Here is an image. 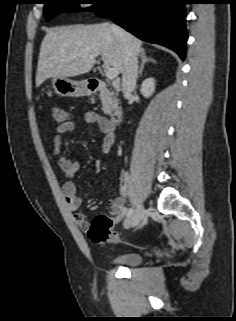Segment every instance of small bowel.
I'll return each mask as SVG.
<instances>
[{
  "label": "small bowel",
  "instance_id": "obj_1",
  "mask_svg": "<svg viewBox=\"0 0 236 321\" xmlns=\"http://www.w3.org/2000/svg\"><path fill=\"white\" fill-rule=\"evenodd\" d=\"M84 120L87 124L96 125L100 132L104 135L102 154H107L115 142V125L108 118H105L95 112L86 113L84 116ZM74 129L75 123L72 121H66L62 125L58 126L52 138L53 156L56 159L59 168L67 177L74 176L80 168V163L78 161L67 158L62 150L66 135L72 132ZM62 193L67 208L71 212H75V222L80 228L86 230L88 226L86 216L83 213L77 212V210L83 203V198L78 194L75 183L72 181L65 182L62 187ZM109 207L115 221L119 222L126 211V209L124 208L123 197H116L111 199L109 201Z\"/></svg>",
  "mask_w": 236,
  "mask_h": 321
}]
</instances>
